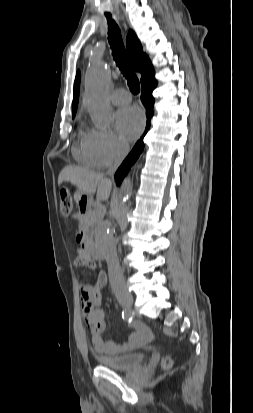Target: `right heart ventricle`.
Wrapping results in <instances>:
<instances>
[{
    "label": "right heart ventricle",
    "instance_id": "e07e8e85",
    "mask_svg": "<svg viewBox=\"0 0 253 413\" xmlns=\"http://www.w3.org/2000/svg\"><path fill=\"white\" fill-rule=\"evenodd\" d=\"M87 134L81 137L79 145L74 150V156L80 163L86 166L97 167L99 165L87 144Z\"/></svg>",
    "mask_w": 253,
    "mask_h": 413
}]
</instances>
